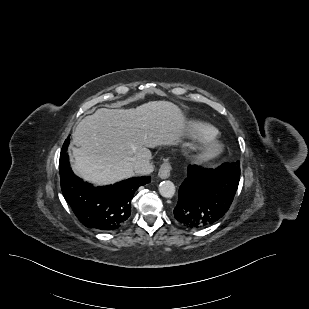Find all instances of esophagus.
Segmentation results:
<instances>
[{"label":"esophagus","instance_id":"34e87169","mask_svg":"<svg viewBox=\"0 0 309 309\" xmlns=\"http://www.w3.org/2000/svg\"><path fill=\"white\" fill-rule=\"evenodd\" d=\"M171 164L168 159H166L160 166L158 176L161 179H166L170 176Z\"/></svg>","mask_w":309,"mask_h":309}]
</instances>
